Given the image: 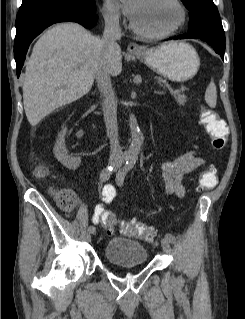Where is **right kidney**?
I'll use <instances>...</instances> for the list:
<instances>
[{
  "instance_id": "1",
  "label": "right kidney",
  "mask_w": 245,
  "mask_h": 319,
  "mask_svg": "<svg viewBox=\"0 0 245 319\" xmlns=\"http://www.w3.org/2000/svg\"><path fill=\"white\" fill-rule=\"evenodd\" d=\"M66 127H62L61 132L58 134L57 141L54 146L55 158L60 161L66 168L75 170L80 166V157H72L68 155V151L65 145Z\"/></svg>"
}]
</instances>
